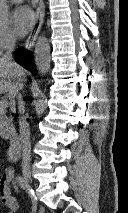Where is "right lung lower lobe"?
<instances>
[{"label": "right lung lower lobe", "mask_w": 128, "mask_h": 213, "mask_svg": "<svg viewBox=\"0 0 128 213\" xmlns=\"http://www.w3.org/2000/svg\"><path fill=\"white\" fill-rule=\"evenodd\" d=\"M16 61L21 64L23 67L31 71L33 74H36L35 64L33 63V58L31 56V52L21 50L18 48L14 53Z\"/></svg>", "instance_id": "right-lung-lower-lobe-1"}]
</instances>
